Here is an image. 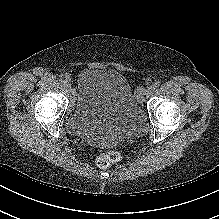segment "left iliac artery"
<instances>
[{
	"label": "left iliac artery",
	"mask_w": 219,
	"mask_h": 219,
	"mask_svg": "<svg viewBox=\"0 0 219 219\" xmlns=\"http://www.w3.org/2000/svg\"><path fill=\"white\" fill-rule=\"evenodd\" d=\"M159 86H160V84H159L158 82H155V83L152 85V89H153V90H156V89L159 88Z\"/></svg>",
	"instance_id": "44dca946"
}]
</instances>
